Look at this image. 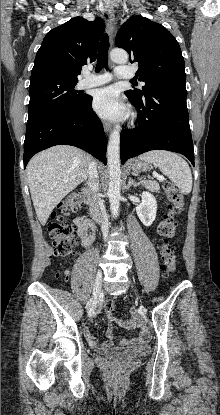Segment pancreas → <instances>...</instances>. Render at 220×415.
Returning <instances> with one entry per match:
<instances>
[{"instance_id":"pancreas-1","label":"pancreas","mask_w":220,"mask_h":415,"mask_svg":"<svg viewBox=\"0 0 220 415\" xmlns=\"http://www.w3.org/2000/svg\"><path fill=\"white\" fill-rule=\"evenodd\" d=\"M141 184L152 192H158L160 190L159 183L153 180H144Z\"/></svg>"}]
</instances>
